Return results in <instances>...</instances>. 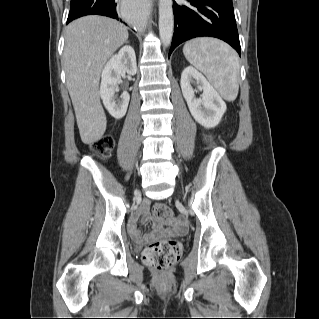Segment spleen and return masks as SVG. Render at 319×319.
Returning a JSON list of instances; mask_svg holds the SVG:
<instances>
[{"mask_svg": "<svg viewBox=\"0 0 319 319\" xmlns=\"http://www.w3.org/2000/svg\"><path fill=\"white\" fill-rule=\"evenodd\" d=\"M183 53L206 75L221 97L227 101L236 99L240 65L237 53L229 45L213 38H195L185 43Z\"/></svg>", "mask_w": 319, "mask_h": 319, "instance_id": "obj_1", "label": "spleen"}]
</instances>
